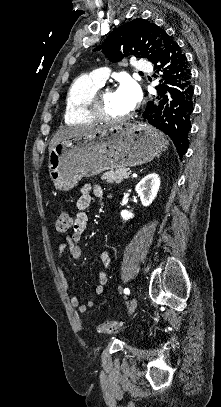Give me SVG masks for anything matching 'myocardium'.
<instances>
[{"label":"myocardium","mask_w":221,"mask_h":407,"mask_svg":"<svg viewBox=\"0 0 221 407\" xmlns=\"http://www.w3.org/2000/svg\"><path fill=\"white\" fill-rule=\"evenodd\" d=\"M112 88H105L98 90L94 95V98L91 104L88 107L89 114L95 119L99 121H105L110 123H119L128 120L132 117L133 112H129L123 116L115 117L108 113L105 105L104 94L107 91H111Z\"/></svg>","instance_id":"obj_1"}]
</instances>
